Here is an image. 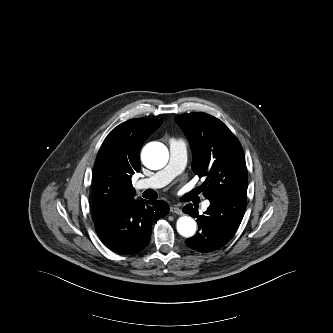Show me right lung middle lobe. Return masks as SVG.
Returning a JSON list of instances; mask_svg holds the SVG:
<instances>
[{"label":"right lung middle lobe","instance_id":"1","mask_svg":"<svg viewBox=\"0 0 333 333\" xmlns=\"http://www.w3.org/2000/svg\"><path fill=\"white\" fill-rule=\"evenodd\" d=\"M123 204L120 203V200H112L110 202H101V201H93V212L99 211H108L115 209Z\"/></svg>","mask_w":333,"mask_h":333}]
</instances>
